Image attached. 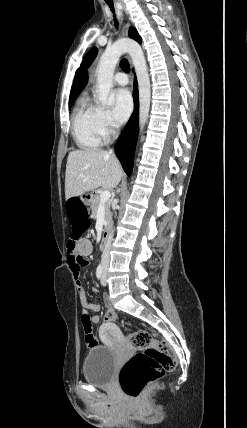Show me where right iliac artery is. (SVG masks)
Here are the masks:
<instances>
[{
	"instance_id": "1",
	"label": "right iliac artery",
	"mask_w": 247,
	"mask_h": 428,
	"mask_svg": "<svg viewBox=\"0 0 247 428\" xmlns=\"http://www.w3.org/2000/svg\"><path fill=\"white\" fill-rule=\"evenodd\" d=\"M102 274H103V266L100 264L97 267V270H96V276H97V278L100 279L102 277Z\"/></svg>"
}]
</instances>
